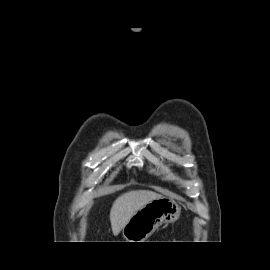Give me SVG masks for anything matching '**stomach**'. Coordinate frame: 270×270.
<instances>
[{"instance_id": "1", "label": "stomach", "mask_w": 270, "mask_h": 270, "mask_svg": "<svg viewBox=\"0 0 270 270\" xmlns=\"http://www.w3.org/2000/svg\"><path fill=\"white\" fill-rule=\"evenodd\" d=\"M181 213L172 199L160 197L139 209L122 229L126 242H144L160 225L175 222Z\"/></svg>"}]
</instances>
